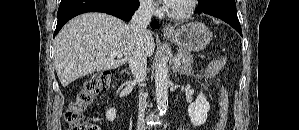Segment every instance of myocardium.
Wrapping results in <instances>:
<instances>
[{
  "instance_id": "1",
  "label": "myocardium",
  "mask_w": 299,
  "mask_h": 130,
  "mask_svg": "<svg viewBox=\"0 0 299 130\" xmlns=\"http://www.w3.org/2000/svg\"><path fill=\"white\" fill-rule=\"evenodd\" d=\"M197 0H187L182 7L168 6V14L176 20L188 18L195 10Z\"/></svg>"
}]
</instances>
